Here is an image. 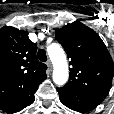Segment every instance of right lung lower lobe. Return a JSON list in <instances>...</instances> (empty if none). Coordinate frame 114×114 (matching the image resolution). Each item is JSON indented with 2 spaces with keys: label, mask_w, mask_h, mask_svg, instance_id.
<instances>
[{
  "label": "right lung lower lobe",
  "mask_w": 114,
  "mask_h": 114,
  "mask_svg": "<svg viewBox=\"0 0 114 114\" xmlns=\"http://www.w3.org/2000/svg\"><path fill=\"white\" fill-rule=\"evenodd\" d=\"M35 92L36 91L32 92L29 95L21 97L15 101H12L6 105L0 106V109L5 112H8V113L18 112V111L24 109L25 107L31 105L34 102V100H35L34 93Z\"/></svg>",
  "instance_id": "1"
}]
</instances>
